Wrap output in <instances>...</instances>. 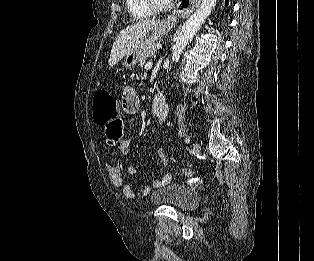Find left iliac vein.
<instances>
[{"mask_svg":"<svg viewBox=\"0 0 314 261\" xmlns=\"http://www.w3.org/2000/svg\"><path fill=\"white\" fill-rule=\"evenodd\" d=\"M193 152L194 154H199L201 152V146L199 143L193 144Z\"/></svg>","mask_w":314,"mask_h":261,"instance_id":"obj_1","label":"left iliac vein"}]
</instances>
